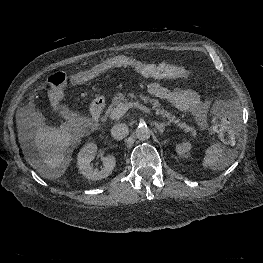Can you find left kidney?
<instances>
[{
	"label": "left kidney",
	"mask_w": 263,
	"mask_h": 263,
	"mask_svg": "<svg viewBox=\"0 0 263 263\" xmlns=\"http://www.w3.org/2000/svg\"><path fill=\"white\" fill-rule=\"evenodd\" d=\"M191 150L190 142H183L176 145V151L179 156L188 157V153Z\"/></svg>",
	"instance_id": "obj_1"
}]
</instances>
